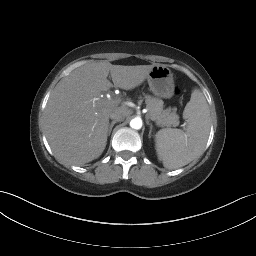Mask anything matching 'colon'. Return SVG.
<instances>
[{
    "instance_id": "obj_1",
    "label": "colon",
    "mask_w": 256,
    "mask_h": 256,
    "mask_svg": "<svg viewBox=\"0 0 256 256\" xmlns=\"http://www.w3.org/2000/svg\"><path fill=\"white\" fill-rule=\"evenodd\" d=\"M176 93H177V94L179 93V90H178V89L176 90Z\"/></svg>"
}]
</instances>
